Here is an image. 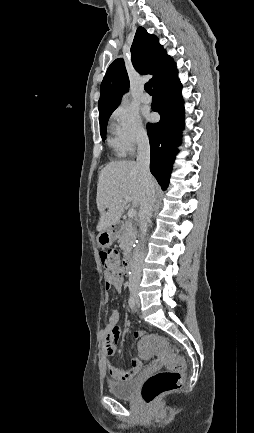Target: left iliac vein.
<instances>
[{"instance_id": "1", "label": "left iliac vein", "mask_w": 254, "mask_h": 433, "mask_svg": "<svg viewBox=\"0 0 254 433\" xmlns=\"http://www.w3.org/2000/svg\"><path fill=\"white\" fill-rule=\"evenodd\" d=\"M136 302H137V305H138L139 304V300L137 299Z\"/></svg>"}]
</instances>
